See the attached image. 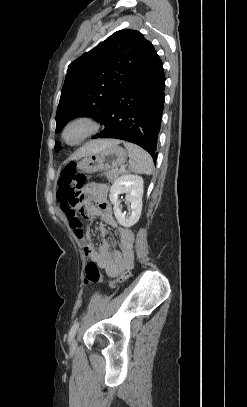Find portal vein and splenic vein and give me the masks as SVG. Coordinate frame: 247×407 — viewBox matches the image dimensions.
<instances>
[{
  "instance_id": "portal-vein-and-splenic-vein-1",
  "label": "portal vein and splenic vein",
  "mask_w": 247,
  "mask_h": 407,
  "mask_svg": "<svg viewBox=\"0 0 247 407\" xmlns=\"http://www.w3.org/2000/svg\"><path fill=\"white\" fill-rule=\"evenodd\" d=\"M120 171H122V172L125 171V167H124V166L121 167V168H120Z\"/></svg>"
}]
</instances>
